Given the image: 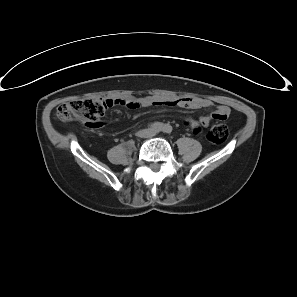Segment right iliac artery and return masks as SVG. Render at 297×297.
<instances>
[{
	"label": "right iliac artery",
	"mask_w": 297,
	"mask_h": 297,
	"mask_svg": "<svg viewBox=\"0 0 297 297\" xmlns=\"http://www.w3.org/2000/svg\"><path fill=\"white\" fill-rule=\"evenodd\" d=\"M153 127H154L155 129L161 131V130L164 129V124L161 123V122H155V123L153 124Z\"/></svg>",
	"instance_id": "1"
}]
</instances>
